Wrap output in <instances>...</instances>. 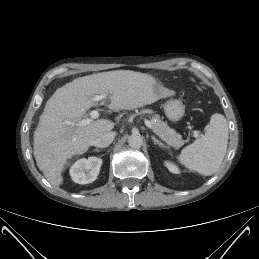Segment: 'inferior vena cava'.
I'll return each mask as SVG.
<instances>
[{
	"label": "inferior vena cava",
	"mask_w": 259,
	"mask_h": 259,
	"mask_svg": "<svg viewBox=\"0 0 259 259\" xmlns=\"http://www.w3.org/2000/svg\"><path fill=\"white\" fill-rule=\"evenodd\" d=\"M115 132H107L92 141V145L98 148L108 147L115 138Z\"/></svg>",
	"instance_id": "1"
}]
</instances>
